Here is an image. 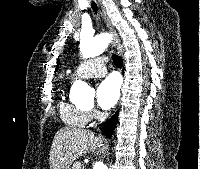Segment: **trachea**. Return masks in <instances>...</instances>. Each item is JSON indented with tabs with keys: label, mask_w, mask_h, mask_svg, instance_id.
I'll return each mask as SVG.
<instances>
[{
	"label": "trachea",
	"mask_w": 200,
	"mask_h": 169,
	"mask_svg": "<svg viewBox=\"0 0 200 169\" xmlns=\"http://www.w3.org/2000/svg\"><path fill=\"white\" fill-rule=\"evenodd\" d=\"M92 8L95 13H97V5L96 3L92 2ZM113 63L116 67L121 68L123 66V60L116 54L112 55Z\"/></svg>",
	"instance_id": "3493384b"
}]
</instances>
